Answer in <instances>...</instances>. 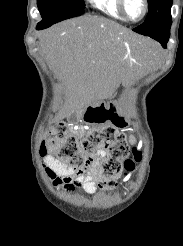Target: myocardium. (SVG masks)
I'll return each mask as SVG.
<instances>
[{
	"label": "myocardium",
	"mask_w": 183,
	"mask_h": 246,
	"mask_svg": "<svg viewBox=\"0 0 183 246\" xmlns=\"http://www.w3.org/2000/svg\"><path fill=\"white\" fill-rule=\"evenodd\" d=\"M117 1H118V7H119L120 12L124 16V18L129 22H132V23L140 22L146 17L148 13V10H149L148 0H141L142 5H143V12L141 16L136 20L130 18L127 14V9H126L127 0H117Z\"/></svg>",
	"instance_id": "obj_1"
}]
</instances>
